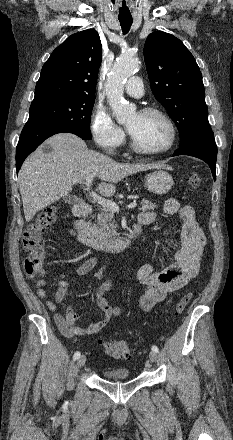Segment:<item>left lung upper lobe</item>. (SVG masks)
I'll return each mask as SVG.
<instances>
[{"label":"left lung upper lobe","mask_w":233,"mask_h":440,"mask_svg":"<svg viewBox=\"0 0 233 440\" xmlns=\"http://www.w3.org/2000/svg\"><path fill=\"white\" fill-rule=\"evenodd\" d=\"M144 59L156 99L180 132V145L212 132L200 69L181 40L156 31L144 46Z\"/></svg>","instance_id":"1"}]
</instances>
